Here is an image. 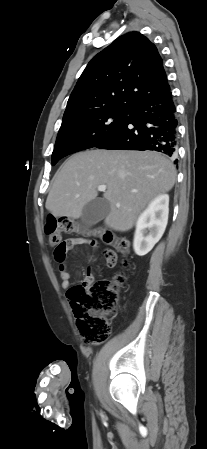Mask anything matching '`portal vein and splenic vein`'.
I'll list each match as a JSON object with an SVG mask.
<instances>
[{
    "label": "portal vein and splenic vein",
    "instance_id": "18ae733b",
    "mask_svg": "<svg viewBox=\"0 0 207 449\" xmlns=\"http://www.w3.org/2000/svg\"><path fill=\"white\" fill-rule=\"evenodd\" d=\"M106 189H107V186H106V185H99V186H98V190H99V191L104 192V191H106Z\"/></svg>",
    "mask_w": 207,
    "mask_h": 449
}]
</instances>
